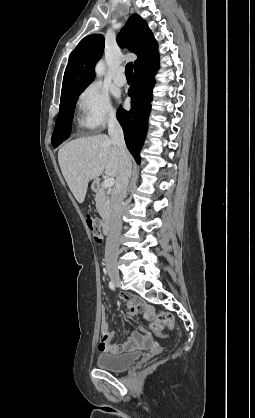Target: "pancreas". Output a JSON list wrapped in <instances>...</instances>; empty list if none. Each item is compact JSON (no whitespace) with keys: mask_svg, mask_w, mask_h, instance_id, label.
I'll use <instances>...</instances> for the list:
<instances>
[{"mask_svg":"<svg viewBox=\"0 0 255 418\" xmlns=\"http://www.w3.org/2000/svg\"><path fill=\"white\" fill-rule=\"evenodd\" d=\"M95 201H96V208H97L99 215L102 218H106L109 214L110 203H109V192L106 191L103 185L98 189L96 196H95Z\"/></svg>","mask_w":255,"mask_h":418,"instance_id":"obj_1","label":"pancreas"}]
</instances>
